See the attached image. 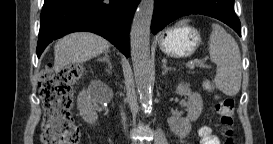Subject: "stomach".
<instances>
[{"instance_id":"0dacf381","label":"stomach","mask_w":273,"mask_h":144,"mask_svg":"<svg viewBox=\"0 0 273 144\" xmlns=\"http://www.w3.org/2000/svg\"><path fill=\"white\" fill-rule=\"evenodd\" d=\"M200 34L188 27H174L164 31L159 38V47L163 53L173 57H188L200 44Z\"/></svg>"}]
</instances>
